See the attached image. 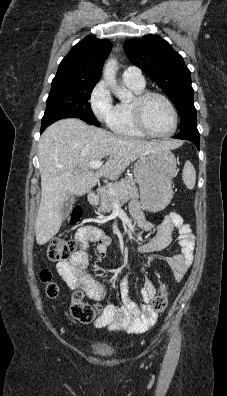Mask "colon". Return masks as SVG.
Listing matches in <instances>:
<instances>
[{
  "label": "colon",
  "mask_w": 227,
  "mask_h": 396,
  "mask_svg": "<svg viewBox=\"0 0 227 396\" xmlns=\"http://www.w3.org/2000/svg\"><path fill=\"white\" fill-rule=\"evenodd\" d=\"M82 216L80 208L73 209L70 217L71 224L79 222ZM78 243L72 239H66L63 236H56L50 240L47 246V257L51 261H65L76 252ZM41 281L46 285V292L50 297L58 293V286L52 279V274L48 270H43L40 274ZM152 308L155 312L161 313L168 306V296L164 285L160 286L159 293L152 300ZM71 315L82 323H90L102 312L100 305H91L83 301V295L80 291L72 294L70 306Z\"/></svg>",
  "instance_id": "1"
}]
</instances>
